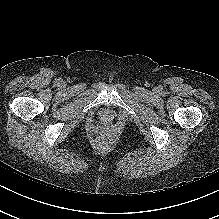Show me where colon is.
Here are the masks:
<instances>
[{
	"label": "colon",
	"mask_w": 219,
	"mask_h": 219,
	"mask_svg": "<svg viewBox=\"0 0 219 219\" xmlns=\"http://www.w3.org/2000/svg\"><path fill=\"white\" fill-rule=\"evenodd\" d=\"M107 145V140L106 139H100L98 142V146L103 147Z\"/></svg>",
	"instance_id": "obj_1"
}]
</instances>
